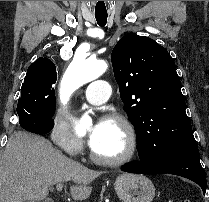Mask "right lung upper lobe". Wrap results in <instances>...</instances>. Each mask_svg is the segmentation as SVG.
<instances>
[{"mask_svg": "<svg viewBox=\"0 0 209 202\" xmlns=\"http://www.w3.org/2000/svg\"><path fill=\"white\" fill-rule=\"evenodd\" d=\"M37 74L57 76L56 67L51 60L40 57L28 67L25 79Z\"/></svg>", "mask_w": 209, "mask_h": 202, "instance_id": "obj_1", "label": "right lung upper lobe"}]
</instances>
